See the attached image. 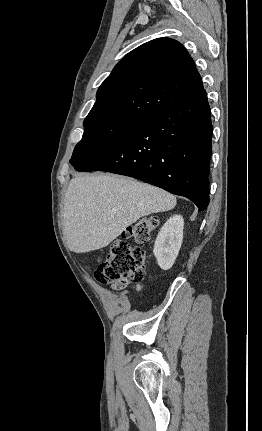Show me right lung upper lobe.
I'll return each mask as SVG.
<instances>
[{
    "label": "right lung upper lobe",
    "mask_w": 262,
    "mask_h": 431,
    "mask_svg": "<svg viewBox=\"0 0 262 431\" xmlns=\"http://www.w3.org/2000/svg\"><path fill=\"white\" fill-rule=\"evenodd\" d=\"M204 90L195 64L176 40L149 41L120 60L97 91L84 124L140 122Z\"/></svg>",
    "instance_id": "cb5924a9"
}]
</instances>
